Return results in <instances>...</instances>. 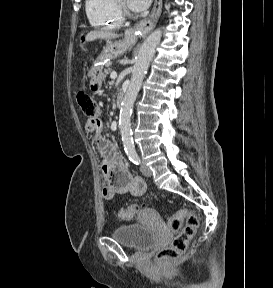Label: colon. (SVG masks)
<instances>
[{
    "label": "colon",
    "instance_id": "1",
    "mask_svg": "<svg viewBox=\"0 0 273 288\" xmlns=\"http://www.w3.org/2000/svg\"><path fill=\"white\" fill-rule=\"evenodd\" d=\"M77 102L86 116L95 118L99 114L97 102L88 93H78ZM138 209L136 205L127 206L120 211V217L123 220L131 221L136 217ZM167 225L170 230L177 232V235L168 247L158 252L156 261L160 265L170 264L186 252L189 242L198 228L199 219L193 211L182 208L168 218Z\"/></svg>",
    "mask_w": 273,
    "mask_h": 288
}]
</instances>
